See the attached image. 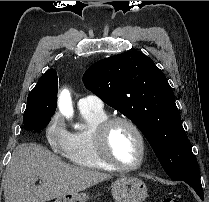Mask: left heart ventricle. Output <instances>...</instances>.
I'll use <instances>...</instances> for the list:
<instances>
[{
	"label": "left heart ventricle",
	"instance_id": "1",
	"mask_svg": "<svg viewBox=\"0 0 209 202\" xmlns=\"http://www.w3.org/2000/svg\"><path fill=\"white\" fill-rule=\"evenodd\" d=\"M108 146L112 157L121 164L132 166L140 159V142L126 124L118 123L110 131Z\"/></svg>",
	"mask_w": 209,
	"mask_h": 202
}]
</instances>
